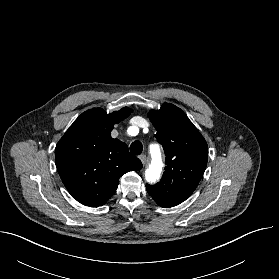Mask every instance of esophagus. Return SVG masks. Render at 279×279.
Instances as JSON below:
<instances>
[{
	"label": "esophagus",
	"instance_id": "obj_1",
	"mask_svg": "<svg viewBox=\"0 0 279 279\" xmlns=\"http://www.w3.org/2000/svg\"><path fill=\"white\" fill-rule=\"evenodd\" d=\"M139 159L141 160L142 164L145 165L147 162V157L146 155L142 154L139 156Z\"/></svg>",
	"mask_w": 279,
	"mask_h": 279
}]
</instances>
